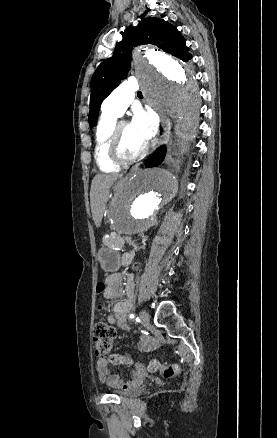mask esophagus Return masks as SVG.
Masks as SVG:
<instances>
[{"mask_svg": "<svg viewBox=\"0 0 277 438\" xmlns=\"http://www.w3.org/2000/svg\"><path fill=\"white\" fill-rule=\"evenodd\" d=\"M170 129H171V123L168 117L164 115H160V125H159V143L160 144H167L170 138Z\"/></svg>", "mask_w": 277, "mask_h": 438, "instance_id": "34e87169", "label": "esophagus"}]
</instances>
